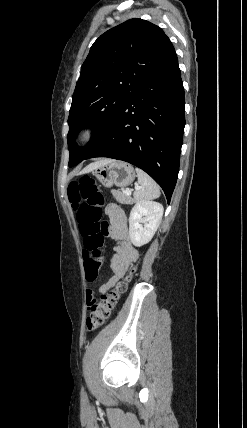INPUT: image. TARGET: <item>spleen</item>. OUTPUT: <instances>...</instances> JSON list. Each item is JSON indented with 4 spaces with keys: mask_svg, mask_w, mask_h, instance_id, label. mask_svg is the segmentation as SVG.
Listing matches in <instances>:
<instances>
[{
    "mask_svg": "<svg viewBox=\"0 0 247 428\" xmlns=\"http://www.w3.org/2000/svg\"><path fill=\"white\" fill-rule=\"evenodd\" d=\"M138 183L140 188L134 192L137 201L156 199L160 196V189L157 183L143 170L136 168Z\"/></svg>",
    "mask_w": 247,
    "mask_h": 428,
    "instance_id": "1",
    "label": "spleen"
}]
</instances>
